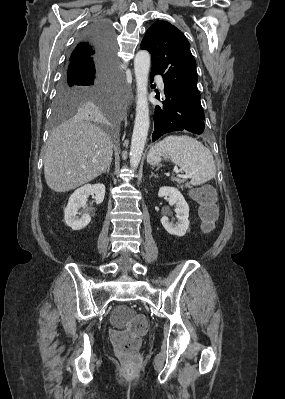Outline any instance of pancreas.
<instances>
[{
	"label": "pancreas",
	"mask_w": 285,
	"mask_h": 399,
	"mask_svg": "<svg viewBox=\"0 0 285 399\" xmlns=\"http://www.w3.org/2000/svg\"><path fill=\"white\" fill-rule=\"evenodd\" d=\"M178 183V186L183 189L184 187H188L190 188V184L189 183H185L186 180L185 179H176L175 180Z\"/></svg>",
	"instance_id": "pancreas-1"
}]
</instances>
